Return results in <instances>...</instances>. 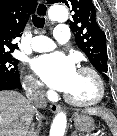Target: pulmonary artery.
Here are the masks:
<instances>
[{"label":"pulmonary artery","mask_w":117,"mask_h":136,"mask_svg":"<svg viewBox=\"0 0 117 136\" xmlns=\"http://www.w3.org/2000/svg\"><path fill=\"white\" fill-rule=\"evenodd\" d=\"M53 36L54 39L36 36L32 41V49L36 52H46L55 48L57 43H66L69 40V29L63 24L57 25Z\"/></svg>","instance_id":"1"}]
</instances>
